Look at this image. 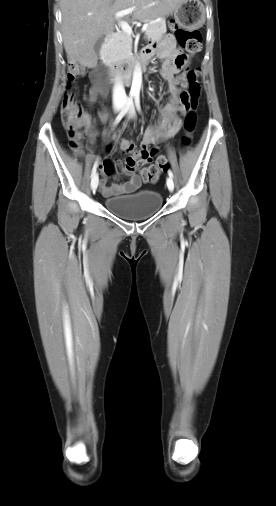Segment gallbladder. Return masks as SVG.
I'll list each match as a JSON object with an SVG mask.
<instances>
[{
  "mask_svg": "<svg viewBox=\"0 0 276 506\" xmlns=\"http://www.w3.org/2000/svg\"><path fill=\"white\" fill-rule=\"evenodd\" d=\"M103 42H104V37H101L95 43L94 50H95L96 53L100 52V49H101V46H102Z\"/></svg>",
  "mask_w": 276,
  "mask_h": 506,
  "instance_id": "1",
  "label": "gallbladder"
}]
</instances>
